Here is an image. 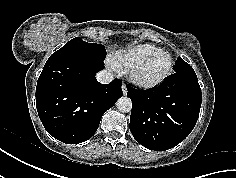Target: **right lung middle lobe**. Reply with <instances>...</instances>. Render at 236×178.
I'll use <instances>...</instances> for the list:
<instances>
[{
    "label": "right lung middle lobe",
    "mask_w": 236,
    "mask_h": 178,
    "mask_svg": "<svg viewBox=\"0 0 236 178\" xmlns=\"http://www.w3.org/2000/svg\"><path fill=\"white\" fill-rule=\"evenodd\" d=\"M70 52H89L102 58H104L106 55V50L103 45L96 43H87L81 40L79 37H75L74 39L70 40L52 55H59Z\"/></svg>",
    "instance_id": "obj_1"
}]
</instances>
